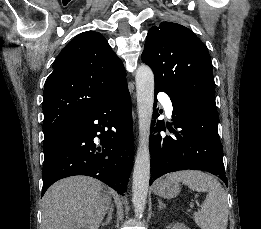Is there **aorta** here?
I'll return each instance as SVG.
<instances>
[{"mask_svg": "<svg viewBox=\"0 0 261 229\" xmlns=\"http://www.w3.org/2000/svg\"><path fill=\"white\" fill-rule=\"evenodd\" d=\"M136 90L139 119V147L135 159L132 179V203L135 217H142L150 181V127L154 102V74L147 64L136 70Z\"/></svg>", "mask_w": 261, "mask_h": 229, "instance_id": "aorta-1", "label": "aorta"}]
</instances>
